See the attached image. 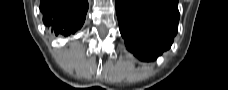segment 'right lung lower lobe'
<instances>
[{
	"label": "right lung lower lobe",
	"mask_w": 228,
	"mask_h": 90,
	"mask_svg": "<svg viewBox=\"0 0 228 90\" xmlns=\"http://www.w3.org/2000/svg\"><path fill=\"white\" fill-rule=\"evenodd\" d=\"M88 10L87 0H41L43 22L55 35H70L80 29Z\"/></svg>",
	"instance_id": "obj_1"
}]
</instances>
